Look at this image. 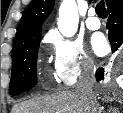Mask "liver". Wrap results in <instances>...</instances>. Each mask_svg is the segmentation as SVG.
Returning <instances> with one entry per match:
<instances>
[{"mask_svg": "<svg viewBox=\"0 0 123 113\" xmlns=\"http://www.w3.org/2000/svg\"><path fill=\"white\" fill-rule=\"evenodd\" d=\"M88 107L76 91H59L33 97L16 105L13 113H88Z\"/></svg>", "mask_w": 123, "mask_h": 113, "instance_id": "6515ba94", "label": "liver"}]
</instances>
